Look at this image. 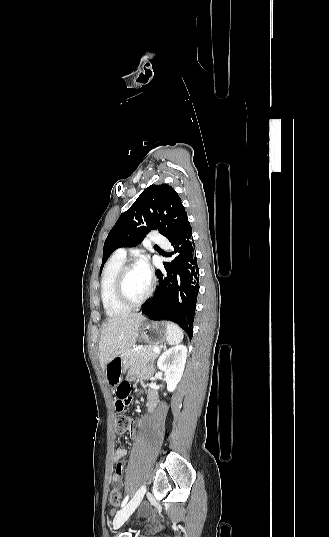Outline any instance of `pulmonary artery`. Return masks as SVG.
I'll return each mask as SVG.
<instances>
[{"mask_svg":"<svg viewBox=\"0 0 329 537\" xmlns=\"http://www.w3.org/2000/svg\"><path fill=\"white\" fill-rule=\"evenodd\" d=\"M151 241L154 243V244H157V245H160V246H163V247H168L169 246V241L159 235V234H152L151 236ZM115 256L121 258V259H125L126 258V255H127V252H126V249L125 248H119L115 251L114 253Z\"/></svg>","mask_w":329,"mask_h":537,"instance_id":"1","label":"pulmonary artery"}]
</instances>
